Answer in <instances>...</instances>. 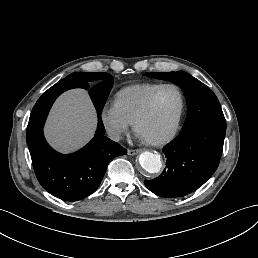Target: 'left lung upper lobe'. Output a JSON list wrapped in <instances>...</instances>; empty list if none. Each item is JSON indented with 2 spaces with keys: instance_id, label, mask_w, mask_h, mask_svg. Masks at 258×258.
Returning a JSON list of instances; mask_svg holds the SVG:
<instances>
[{
  "instance_id": "5c2ea615",
  "label": "left lung upper lobe",
  "mask_w": 258,
  "mask_h": 258,
  "mask_svg": "<svg viewBox=\"0 0 258 258\" xmlns=\"http://www.w3.org/2000/svg\"><path fill=\"white\" fill-rule=\"evenodd\" d=\"M146 76L167 80L180 86L188 105V115L178 136L200 127L216 126L226 129V120L213 91L190 74L177 72H149Z\"/></svg>"
}]
</instances>
